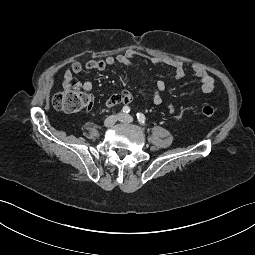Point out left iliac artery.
<instances>
[{"label":"left iliac artery","instance_id":"44dca946","mask_svg":"<svg viewBox=\"0 0 255 255\" xmlns=\"http://www.w3.org/2000/svg\"><path fill=\"white\" fill-rule=\"evenodd\" d=\"M137 119H138V122L141 124V125H144L145 124V116L142 114V113H137Z\"/></svg>","mask_w":255,"mask_h":255}]
</instances>
